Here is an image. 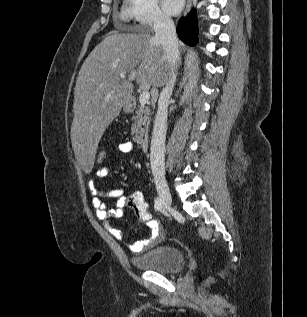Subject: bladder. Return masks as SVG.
Wrapping results in <instances>:
<instances>
[{
	"label": "bladder",
	"instance_id": "31cf9c89",
	"mask_svg": "<svg viewBox=\"0 0 307 317\" xmlns=\"http://www.w3.org/2000/svg\"><path fill=\"white\" fill-rule=\"evenodd\" d=\"M132 264L140 270L172 274L184 267V258L176 247H156L141 256L131 258Z\"/></svg>",
	"mask_w": 307,
	"mask_h": 317
}]
</instances>
